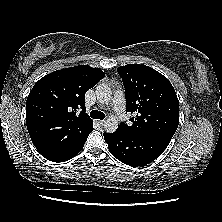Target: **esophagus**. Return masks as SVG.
Listing matches in <instances>:
<instances>
[{"mask_svg":"<svg viewBox=\"0 0 222 222\" xmlns=\"http://www.w3.org/2000/svg\"><path fill=\"white\" fill-rule=\"evenodd\" d=\"M97 122H98L100 125H103L105 121H104V120H98Z\"/></svg>","mask_w":222,"mask_h":222,"instance_id":"1","label":"esophagus"}]
</instances>
